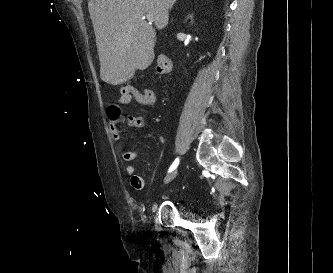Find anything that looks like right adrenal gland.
Masks as SVG:
<instances>
[{
    "label": "right adrenal gland",
    "mask_w": 333,
    "mask_h": 273,
    "mask_svg": "<svg viewBox=\"0 0 333 273\" xmlns=\"http://www.w3.org/2000/svg\"><path fill=\"white\" fill-rule=\"evenodd\" d=\"M175 1H176V0H173V2L171 3V5H170V10L172 9V7H173Z\"/></svg>",
    "instance_id": "2a0ac1e0"
}]
</instances>
